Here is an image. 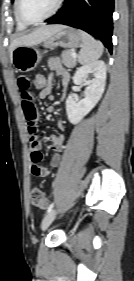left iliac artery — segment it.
I'll return each instance as SVG.
<instances>
[{
    "mask_svg": "<svg viewBox=\"0 0 134 281\" xmlns=\"http://www.w3.org/2000/svg\"><path fill=\"white\" fill-rule=\"evenodd\" d=\"M53 206H54V203H51V204L49 205V207H48V209H47L46 214H48L49 212H51V211H52Z\"/></svg>",
    "mask_w": 134,
    "mask_h": 281,
    "instance_id": "44dca946",
    "label": "left iliac artery"
}]
</instances>
